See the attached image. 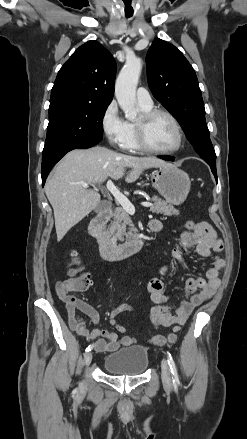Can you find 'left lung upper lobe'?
Returning <instances> with one entry per match:
<instances>
[{
	"instance_id": "obj_1",
	"label": "left lung upper lobe",
	"mask_w": 247,
	"mask_h": 439,
	"mask_svg": "<svg viewBox=\"0 0 247 439\" xmlns=\"http://www.w3.org/2000/svg\"><path fill=\"white\" fill-rule=\"evenodd\" d=\"M153 96L182 126L188 140L210 167L216 154L205 121V108L193 67L172 44L155 39L146 56Z\"/></svg>"
}]
</instances>
